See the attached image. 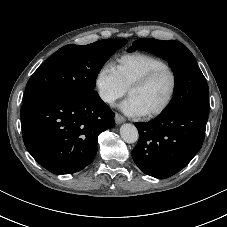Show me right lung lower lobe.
I'll use <instances>...</instances> for the list:
<instances>
[{"label": "right lung lower lobe", "mask_w": 227, "mask_h": 227, "mask_svg": "<svg viewBox=\"0 0 227 227\" xmlns=\"http://www.w3.org/2000/svg\"><path fill=\"white\" fill-rule=\"evenodd\" d=\"M20 117L27 150L55 174L75 173L90 164L98 135L115 125L113 111L98 94L42 96L23 103Z\"/></svg>", "instance_id": "right-lung-lower-lobe-1"}]
</instances>
